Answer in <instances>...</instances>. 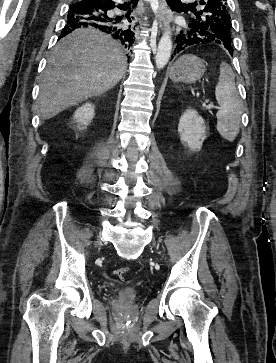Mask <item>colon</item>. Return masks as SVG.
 <instances>
[{
    "instance_id": "obj_1",
    "label": "colon",
    "mask_w": 276,
    "mask_h": 363,
    "mask_svg": "<svg viewBox=\"0 0 276 363\" xmlns=\"http://www.w3.org/2000/svg\"><path fill=\"white\" fill-rule=\"evenodd\" d=\"M129 271L128 267H122L115 271L116 275L123 277Z\"/></svg>"
}]
</instances>
